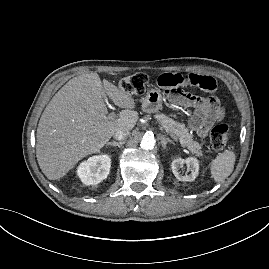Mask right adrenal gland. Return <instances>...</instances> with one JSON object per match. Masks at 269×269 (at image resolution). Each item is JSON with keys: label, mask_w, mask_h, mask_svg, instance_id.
<instances>
[{"label": "right adrenal gland", "mask_w": 269, "mask_h": 269, "mask_svg": "<svg viewBox=\"0 0 269 269\" xmlns=\"http://www.w3.org/2000/svg\"><path fill=\"white\" fill-rule=\"evenodd\" d=\"M124 143H125L124 141H120V142L112 141V142L106 143V146H117L120 148Z\"/></svg>", "instance_id": "right-adrenal-gland-1"}]
</instances>
